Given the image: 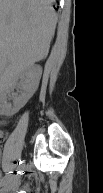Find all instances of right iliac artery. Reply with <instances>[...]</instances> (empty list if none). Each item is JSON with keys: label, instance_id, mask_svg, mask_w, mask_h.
<instances>
[{"label": "right iliac artery", "instance_id": "obj_1", "mask_svg": "<svg viewBox=\"0 0 103 193\" xmlns=\"http://www.w3.org/2000/svg\"><path fill=\"white\" fill-rule=\"evenodd\" d=\"M13 171L8 172V174L5 176L6 180L9 181L12 177Z\"/></svg>", "mask_w": 103, "mask_h": 193}]
</instances>
